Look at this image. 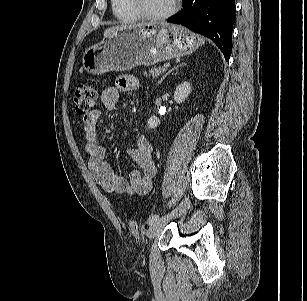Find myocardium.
<instances>
[{"instance_id":"f54148a6","label":"myocardium","mask_w":307,"mask_h":301,"mask_svg":"<svg viewBox=\"0 0 307 301\" xmlns=\"http://www.w3.org/2000/svg\"><path fill=\"white\" fill-rule=\"evenodd\" d=\"M129 1L131 7L140 18L150 21H161L170 18L178 11L181 0H173L170 9L160 14H152L147 12L143 8L141 0H129Z\"/></svg>"}]
</instances>
